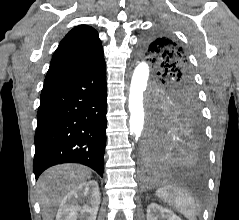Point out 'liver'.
Masks as SVG:
<instances>
[{"label": "liver", "instance_id": "liver-1", "mask_svg": "<svg viewBox=\"0 0 239 220\" xmlns=\"http://www.w3.org/2000/svg\"><path fill=\"white\" fill-rule=\"evenodd\" d=\"M90 177L88 168L76 164L57 165L46 170L37 183L43 220H53L64 196Z\"/></svg>", "mask_w": 239, "mask_h": 220}]
</instances>
